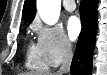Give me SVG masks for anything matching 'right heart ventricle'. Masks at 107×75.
Returning <instances> with one entry per match:
<instances>
[{
    "label": "right heart ventricle",
    "mask_w": 107,
    "mask_h": 75,
    "mask_svg": "<svg viewBox=\"0 0 107 75\" xmlns=\"http://www.w3.org/2000/svg\"><path fill=\"white\" fill-rule=\"evenodd\" d=\"M26 66L34 70H45L48 65L43 60L38 47L31 44L26 55Z\"/></svg>",
    "instance_id": "obj_1"
}]
</instances>
